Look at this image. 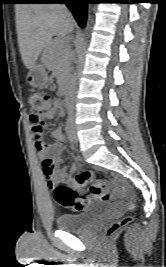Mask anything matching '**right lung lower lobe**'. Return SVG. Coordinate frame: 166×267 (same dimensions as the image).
Masks as SVG:
<instances>
[{"label":"right lung lower lobe","instance_id":"98d812e1","mask_svg":"<svg viewBox=\"0 0 166 267\" xmlns=\"http://www.w3.org/2000/svg\"><path fill=\"white\" fill-rule=\"evenodd\" d=\"M88 0H26L19 3H65L73 13L81 28L86 24V9Z\"/></svg>","mask_w":166,"mask_h":267}]
</instances>
